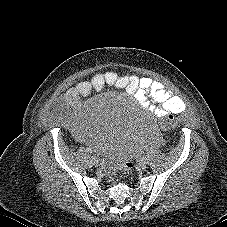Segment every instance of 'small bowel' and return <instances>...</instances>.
I'll use <instances>...</instances> for the list:
<instances>
[{"label": "small bowel", "instance_id": "small-bowel-1", "mask_svg": "<svg viewBox=\"0 0 227 227\" xmlns=\"http://www.w3.org/2000/svg\"><path fill=\"white\" fill-rule=\"evenodd\" d=\"M106 87L114 88L133 96L145 111L153 117L162 118L167 112L176 114L185 108V102L173 94L162 82L149 77L118 75L107 71L96 73L91 79L83 80L70 88L62 97V102L72 110L64 115L63 125L82 143L101 147L100 139H91V121L87 115L88 103L85 98Z\"/></svg>", "mask_w": 227, "mask_h": 227}]
</instances>
